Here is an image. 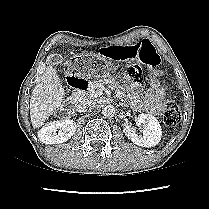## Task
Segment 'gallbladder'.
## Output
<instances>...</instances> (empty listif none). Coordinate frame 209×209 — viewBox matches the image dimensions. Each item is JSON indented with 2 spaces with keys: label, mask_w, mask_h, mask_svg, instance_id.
<instances>
[{
  "label": "gallbladder",
  "mask_w": 209,
  "mask_h": 209,
  "mask_svg": "<svg viewBox=\"0 0 209 209\" xmlns=\"http://www.w3.org/2000/svg\"><path fill=\"white\" fill-rule=\"evenodd\" d=\"M50 60L52 63L54 64H63L64 62V58L61 54H52L51 57H50Z\"/></svg>",
  "instance_id": "obj_1"
}]
</instances>
